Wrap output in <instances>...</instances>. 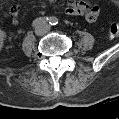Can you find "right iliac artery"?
Returning <instances> with one entry per match:
<instances>
[{
  "label": "right iliac artery",
  "instance_id": "right-iliac-artery-1",
  "mask_svg": "<svg viewBox=\"0 0 119 119\" xmlns=\"http://www.w3.org/2000/svg\"><path fill=\"white\" fill-rule=\"evenodd\" d=\"M51 19V17H39V18H36L33 23H32V26L33 27H38L40 26L41 24L45 23V22H49V20Z\"/></svg>",
  "mask_w": 119,
  "mask_h": 119
}]
</instances>
